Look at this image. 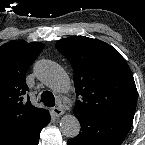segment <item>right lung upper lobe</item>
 I'll list each match as a JSON object with an SVG mask.
<instances>
[{
    "label": "right lung upper lobe",
    "instance_id": "1",
    "mask_svg": "<svg viewBox=\"0 0 145 145\" xmlns=\"http://www.w3.org/2000/svg\"><path fill=\"white\" fill-rule=\"evenodd\" d=\"M42 49V43L25 41H11L0 47V142L48 112L34 107L25 95V73Z\"/></svg>",
    "mask_w": 145,
    "mask_h": 145
}]
</instances>
